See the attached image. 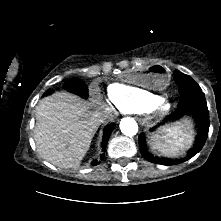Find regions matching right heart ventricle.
Wrapping results in <instances>:
<instances>
[{"label":"right heart ventricle","instance_id":"obj_1","mask_svg":"<svg viewBox=\"0 0 221 221\" xmlns=\"http://www.w3.org/2000/svg\"><path fill=\"white\" fill-rule=\"evenodd\" d=\"M108 97L121 113L145 112L161 98L158 94L124 83L110 84Z\"/></svg>","mask_w":221,"mask_h":221}]
</instances>
